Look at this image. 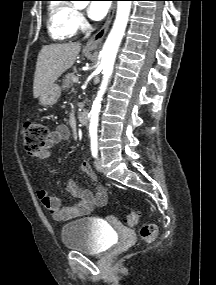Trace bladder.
Returning <instances> with one entry per match:
<instances>
[{"label": "bladder", "instance_id": "obj_1", "mask_svg": "<svg viewBox=\"0 0 216 285\" xmlns=\"http://www.w3.org/2000/svg\"><path fill=\"white\" fill-rule=\"evenodd\" d=\"M61 237L66 248L93 255L104 253L115 241L112 231L92 217L79 218L65 224Z\"/></svg>", "mask_w": 216, "mask_h": 285}]
</instances>
